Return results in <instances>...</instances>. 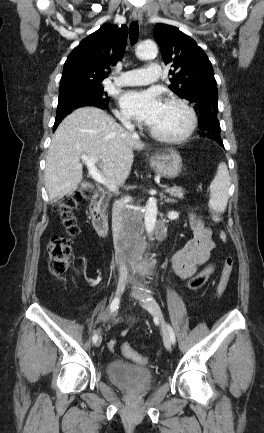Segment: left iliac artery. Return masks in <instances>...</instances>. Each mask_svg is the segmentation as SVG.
I'll list each match as a JSON object with an SVG mask.
<instances>
[{"label": "left iliac artery", "mask_w": 264, "mask_h": 433, "mask_svg": "<svg viewBox=\"0 0 264 433\" xmlns=\"http://www.w3.org/2000/svg\"><path fill=\"white\" fill-rule=\"evenodd\" d=\"M168 330H169V333H170L171 341L174 344L175 341H176L175 334H174V331H173V329H172V327L170 325H168Z\"/></svg>", "instance_id": "1"}]
</instances>
